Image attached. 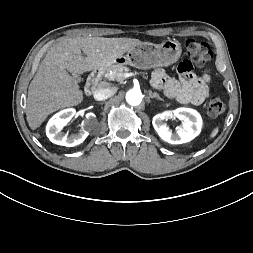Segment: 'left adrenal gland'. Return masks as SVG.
<instances>
[{"label":"left adrenal gland","mask_w":253,"mask_h":253,"mask_svg":"<svg viewBox=\"0 0 253 253\" xmlns=\"http://www.w3.org/2000/svg\"><path fill=\"white\" fill-rule=\"evenodd\" d=\"M149 96L150 98H157L158 100L163 101V99L156 92L152 93L151 91H149Z\"/></svg>","instance_id":"left-adrenal-gland-1"}]
</instances>
